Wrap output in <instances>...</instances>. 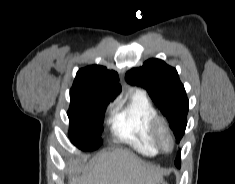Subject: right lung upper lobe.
<instances>
[{"label":"right lung upper lobe","instance_id":"cb5924a9","mask_svg":"<svg viewBox=\"0 0 235 184\" xmlns=\"http://www.w3.org/2000/svg\"><path fill=\"white\" fill-rule=\"evenodd\" d=\"M120 92L117 72L100 65L81 68L70 90V94L82 95L91 106L108 105Z\"/></svg>","mask_w":235,"mask_h":184}]
</instances>
